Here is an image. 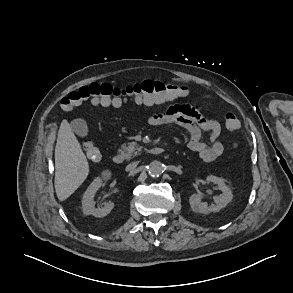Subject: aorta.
<instances>
[{"instance_id":"aorta-1","label":"aorta","mask_w":293,"mask_h":293,"mask_svg":"<svg viewBox=\"0 0 293 293\" xmlns=\"http://www.w3.org/2000/svg\"><path fill=\"white\" fill-rule=\"evenodd\" d=\"M147 170L150 176L158 177L163 173L164 165L160 161L154 160L148 165Z\"/></svg>"}]
</instances>
